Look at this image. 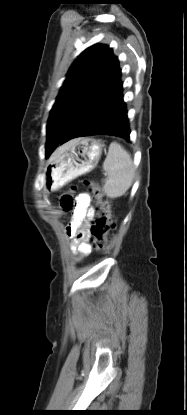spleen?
<instances>
[{"label": "spleen", "instance_id": "obj_1", "mask_svg": "<svg viewBox=\"0 0 187 415\" xmlns=\"http://www.w3.org/2000/svg\"><path fill=\"white\" fill-rule=\"evenodd\" d=\"M103 169L107 174L104 193L109 198L124 195L132 185L135 169L130 154L119 143L110 144Z\"/></svg>", "mask_w": 187, "mask_h": 415}]
</instances>
